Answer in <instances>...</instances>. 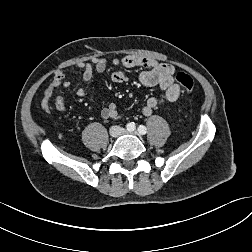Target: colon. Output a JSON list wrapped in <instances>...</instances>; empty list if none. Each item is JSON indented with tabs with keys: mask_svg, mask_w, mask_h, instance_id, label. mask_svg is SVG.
I'll return each instance as SVG.
<instances>
[{
	"mask_svg": "<svg viewBox=\"0 0 252 252\" xmlns=\"http://www.w3.org/2000/svg\"><path fill=\"white\" fill-rule=\"evenodd\" d=\"M176 82L186 91L191 92L194 89L193 78L184 72H179L175 75Z\"/></svg>",
	"mask_w": 252,
	"mask_h": 252,
	"instance_id": "colon-1",
	"label": "colon"
}]
</instances>
